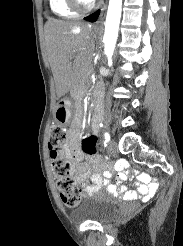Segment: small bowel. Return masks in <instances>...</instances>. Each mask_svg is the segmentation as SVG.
Returning a JSON list of instances; mask_svg holds the SVG:
<instances>
[{
  "mask_svg": "<svg viewBox=\"0 0 183 246\" xmlns=\"http://www.w3.org/2000/svg\"><path fill=\"white\" fill-rule=\"evenodd\" d=\"M99 126L97 123L92 124V133L98 132ZM81 135L76 129H71L68 132V139L65 144L66 156L76 165L75 174L77 179L82 182L85 178L90 177V184L83 187L86 196L92 195L94 191L102 187L103 191H109L110 197L114 198L115 194L125 199L155 198V194L160 191L159 177H150L149 171L145 170V175H137L135 186L136 191H130L122 182L129 174H139V169H126L127 160H116V165L119 170H123L116 175L117 184L110 182L113 175V170L105 168L100 162L99 157H88L82 151ZM103 170L102 173L93 170ZM127 183H134V178H127Z\"/></svg>",
  "mask_w": 183,
  "mask_h": 246,
  "instance_id": "small-bowel-1",
  "label": "small bowel"
}]
</instances>
